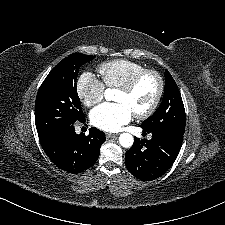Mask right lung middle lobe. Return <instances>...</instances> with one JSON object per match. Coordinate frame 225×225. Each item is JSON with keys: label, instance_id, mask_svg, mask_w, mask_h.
Returning <instances> with one entry per match:
<instances>
[{"label": "right lung middle lobe", "instance_id": "right-lung-middle-lobe-1", "mask_svg": "<svg viewBox=\"0 0 225 225\" xmlns=\"http://www.w3.org/2000/svg\"><path fill=\"white\" fill-rule=\"evenodd\" d=\"M94 58L73 53L60 61L47 75L35 102V124L39 138L69 128L84 117L76 80L80 66Z\"/></svg>", "mask_w": 225, "mask_h": 225}]
</instances>
